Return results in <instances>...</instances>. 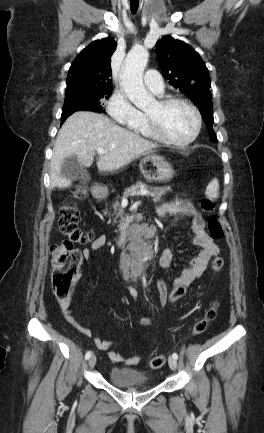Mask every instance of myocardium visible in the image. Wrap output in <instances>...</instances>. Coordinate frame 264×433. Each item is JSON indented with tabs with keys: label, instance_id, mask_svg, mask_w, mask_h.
Instances as JSON below:
<instances>
[{
	"label": "myocardium",
	"instance_id": "obj_1",
	"mask_svg": "<svg viewBox=\"0 0 264 433\" xmlns=\"http://www.w3.org/2000/svg\"><path fill=\"white\" fill-rule=\"evenodd\" d=\"M157 105L160 108H166L168 106H171L173 104H182L186 107H188L196 120V125H195V129L193 131V133L191 134V136L189 138H187L184 141H176L173 140L172 138L168 137L166 135V133L164 132L159 120L155 117L152 116L148 113H145V117L148 123V126L152 132V134L154 135L155 138H157L158 140H160L161 142L168 144L170 146H174V147H178V148H185L188 147L189 145H191L192 143H194L196 141V139L198 138L201 129H202V116L200 111L198 110V108L189 100L181 98V97H166V98H161L159 100L156 101Z\"/></svg>",
	"mask_w": 264,
	"mask_h": 433
}]
</instances>
